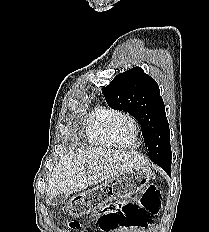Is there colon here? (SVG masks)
I'll list each match as a JSON object with an SVG mask.
<instances>
[{
    "mask_svg": "<svg viewBox=\"0 0 209 232\" xmlns=\"http://www.w3.org/2000/svg\"><path fill=\"white\" fill-rule=\"evenodd\" d=\"M160 192L153 184L148 185L137 202L127 201L109 206L98 214V222L102 229L116 226H150V217L160 210ZM77 227V223H71Z\"/></svg>",
    "mask_w": 209,
    "mask_h": 232,
    "instance_id": "5ec220e1",
    "label": "colon"
}]
</instances>
